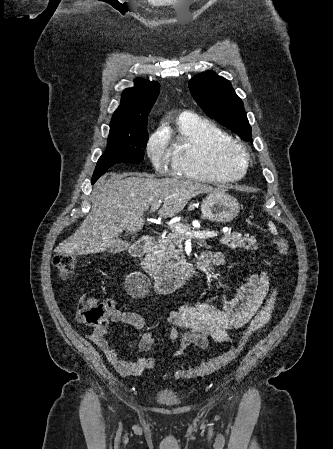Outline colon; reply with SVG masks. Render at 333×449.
Masks as SVG:
<instances>
[{
    "label": "colon",
    "mask_w": 333,
    "mask_h": 449,
    "mask_svg": "<svg viewBox=\"0 0 333 449\" xmlns=\"http://www.w3.org/2000/svg\"><path fill=\"white\" fill-rule=\"evenodd\" d=\"M274 245L281 255L285 256L289 253L290 246L285 239L281 237L274 238ZM52 264L61 276H68L75 269L76 258L69 253H55L52 258ZM114 311L115 305L110 300L102 302L93 301L86 303L84 307L77 312V319L85 325L106 329L109 318ZM241 348L242 342L233 346L223 354L213 357L194 368L177 371L175 377L181 379L214 373L233 362L238 357Z\"/></svg>",
    "instance_id": "obj_1"
}]
</instances>
